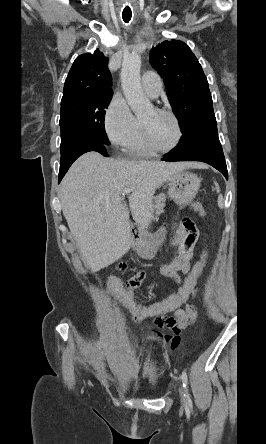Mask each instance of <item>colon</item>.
Segmentation results:
<instances>
[{"instance_id":"1","label":"colon","mask_w":266,"mask_h":444,"mask_svg":"<svg viewBox=\"0 0 266 444\" xmlns=\"http://www.w3.org/2000/svg\"><path fill=\"white\" fill-rule=\"evenodd\" d=\"M192 208L201 216H205V211L201 204L193 203ZM208 262V251L204 250L199 260L193 265L186 276L181 279L178 290L155 303L140 302L134 292L132 282L128 279L117 289V299H119L130 311L131 316L138 319H162L172 311L177 310L187 301L189 296L195 291Z\"/></svg>"}]
</instances>
